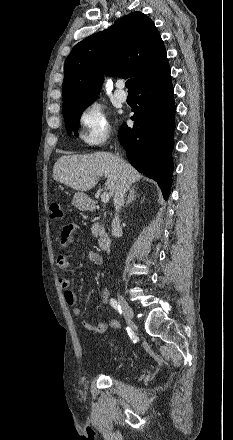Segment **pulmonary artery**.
<instances>
[{"instance_id": "pulmonary-artery-1", "label": "pulmonary artery", "mask_w": 233, "mask_h": 440, "mask_svg": "<svg viewBox=\"0 0 233 440\" xmlns=\"http://www.w3.org/2000/svg\"><path fill=\"white\" fill-rule=\"evenodd\" d=\"M122 84H117V89L114 92L116 99L120 102H125L127 100V94L121 89Z\"/></svg>"}]
</instances>
